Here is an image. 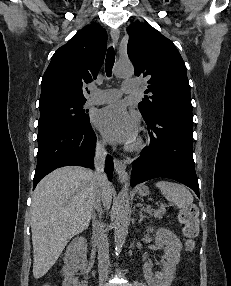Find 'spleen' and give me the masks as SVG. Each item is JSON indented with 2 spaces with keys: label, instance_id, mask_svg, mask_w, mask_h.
Masks as SVG:
<instances>
[{
  "label": "spleen",
  "instance_id": "3e777b00",
  "mask_svg": "<svg viewBox=\"0 0 231 286\" xmlns=\"http://www.w3.org/2000/svg\"><path fill=\"white\" fill-rule=\"evenodd\" d=\"M155 186L160 189L162 195L177 208H185L193 203V195L183 185L165 180L158 181Z\"/></svg>",
  "mask_w": 231,
  "mask_h": 286
}]
</instances>
